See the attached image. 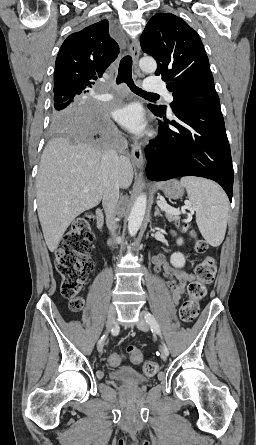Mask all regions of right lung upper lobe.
I'll return each mask as SVG.
<instances>
[{"label":"right lung upper lobe","instance_id":"cb5924a9","mask_svg":"<svg viewBox=\"0 0 256 445\" xmlns=\"http://www.w3.org/2000/svg\"><path fill=\"white\" fill-rule=\"evenodd\" d=\"M118 54L119 46L109 34L107 20L71 34L56 58L54 95L88 93Z\"/></svg>","mask_w":256,"mask_h":445}]
</instances>
